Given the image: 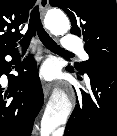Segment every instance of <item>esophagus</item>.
I'll use <instances>...</instances> for the list:
<instances>
[{
	"label": "esophagus",
	"instance_id": "34e87169",
	"mask_svg": "<svg viewBox=\"0 0 117 136\" xmlns=\"http://www.w3.org/2000/svg\"><path fill=\"white\" fill-rule=\"evenodd\" d=\"M39 5H40L41 17H43L45 15L46 10H47L48 0H39ZM42 88H43L44 96H45V98H47L50 93V90H51V84H49L47 82H43Z\"/></svg>",
	"mask_w": 117,
	"mask_h": 136
}]
</instances>
